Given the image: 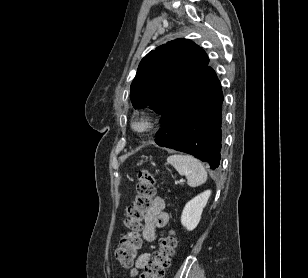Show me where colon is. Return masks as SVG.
Masks as SVG:
<instances>
[{
  "label": "colon",
  "instance_id": "colon-1",
  "mask_svg": "<svg viewBox=\"0 0 308 278\" xmlns=\"http://www.w3.org/2000/svg\"><path fill=\"white\" fill-rule=\"evenodd\" d=\"M154 196L155 178L147 170H141L138 174L135 202L127 210L126 232L116 250V259L125 268L132 266L141 247L142 220L151 208ZM175 248L176 238L173 231L165 232L160 239L159 249L154 252L152 259L144 267L140 278H163Z\"/></svg>",
  "mask_w": 308,
  "mask_h": 278
}]
</instances>
